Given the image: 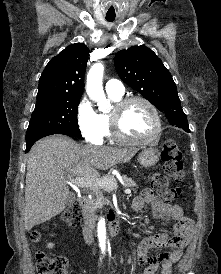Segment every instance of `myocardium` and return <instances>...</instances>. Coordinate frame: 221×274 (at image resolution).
Returning <instances> with one entry per match:
<instances>
[{"mask_svg": "<svg viewBox=\"0 0 221 274\" xmlns=\"http://www.w3.org/2000/svg\"><path fill=\"white\" fill-rule=\"evenodd\" d=\"M134 102H141L145 106H147V108L151 111V114L154 119V129L152 133L148 137L143 139H133L126 136L122 132L120 126V118L123 111L126 109V107H128L130 104ZM109 120L113 138L120 143L128 145L150 144L158 137L162 129V120L157 107L149 99L143 96H129L116 102L113 106L112 111L109 114Z\"/></svg>", "mask_w": 221, "mask_h": 274, "instance_id": "f54148a6", "label": "myocardium"}]
</instances>
